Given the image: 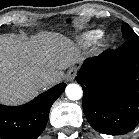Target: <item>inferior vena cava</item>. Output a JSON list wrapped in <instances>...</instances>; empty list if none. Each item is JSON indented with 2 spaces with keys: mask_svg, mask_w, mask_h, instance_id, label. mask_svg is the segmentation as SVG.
I'll return each mask as SVG.
<instances>
[{
  "mask_svg": "<svg viewBox=\"0 0 139 139\" xmlns=\"http://www.w3.org/2000/svg\"><path fill=\"white\" fill-rule=\"evenodd\" d=\"M55 82V76L51 74H44L40 76L37 80V85L39 88H45L52 85Z\"/></svg>",
  "mask_w": 139,
  "mask_h": 139,
  "instance_id": "602c4592",
  "label": "inferior vena cava"
}]
</instances>
